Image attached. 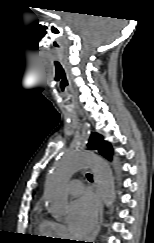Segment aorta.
<instances>
[{
  "label": "aorta",
  "mask_w": 154,
  "mask_h": 243,
  "mask_svg": "<svg viewBox=\"0 0 154 243\" xmlns=\"http://www.w3.org/2000/svg\"><path fill=\"white\" fill-rule=\"evenodd\" d=\"M91 168L99 186L102 200L111 207L115 200L114 180L109 165L101 158L86 151L65 152L47 176L45 199L48 212L58 220L67 214L66 186L72 176L82 168Z\"/></svg>",
  "instance_id": "762f6f07"
}]
</instances>
